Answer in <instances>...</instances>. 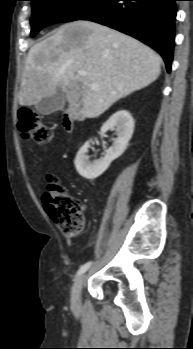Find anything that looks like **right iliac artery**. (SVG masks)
Segmentation results:
<instances>
[{
	"instance_id": "82829eb1",
	"label": "right iliac artery",
	"mask_w": 193,
	"mask_h": 349,
	"mask_svg": "<svg viewBox=\"0 0 193 349\" xmlns=\"http://www.w3.org/2000/svg\"><path fill=\"white\" fill-rule=\"evenodd\" d=\"M92 262H87L84 265L80 267V269L77 271L76 277L80 276L83 274L85 271L88 270V268L91 266Z\"/></svg>"
}]
</instances>
